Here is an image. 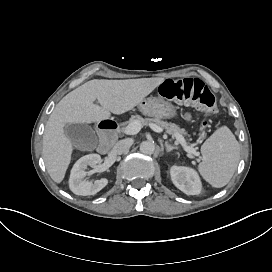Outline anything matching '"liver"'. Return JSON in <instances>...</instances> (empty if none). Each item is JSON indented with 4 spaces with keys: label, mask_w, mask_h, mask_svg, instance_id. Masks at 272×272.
I'll return each instance as SVG.
<instances>
[{
    "label": "liver",
    "mask_w": 272,
    "mask_h": 272,
    "mask_svg": "<svg viewBox=\"0 0 272 272\" xmlns=\"http://www.w3.org/2000/svg\"><path fill=\"white\" fill-rule=\"evenodd\" d=\"M164 78L90 80L64 96L51 113L43 135L47 171L60 183L70 164L72 143L64 133L67 123H92L122 114L137 106ZM98 100L101 106L94 104Z\"/></svg>",
    "instance_id": "6515ba94"
}]
</instances>
